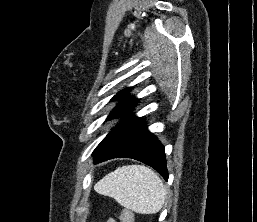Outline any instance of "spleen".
Masks as SVG:
<instances>
[{
	"label": "spleen",
	"instance_id": "obj_1",
	"mask_svg": "<svg viewBox=\"0 0 257 222\" xmlns=\"http://www.w3.org/2000/svg\"><path fill=\"white\" fill-rule=\"evenodd\" d=\"M94 190L139 214L157 213L166 199V187L162 180L143 165L117 168L97 182Z\"/></svg>",
	"mask_w": 257,
	"mask_h": 222
}]
</instances>
